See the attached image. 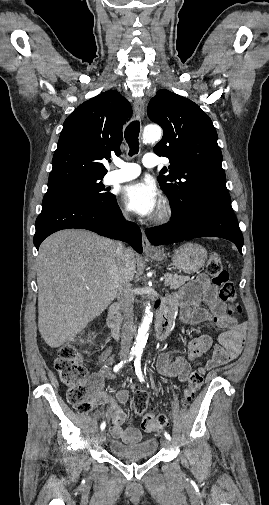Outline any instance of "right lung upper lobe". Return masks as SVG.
Masks as SVG:
<instances>
[{
	"label": "right lung upper lobe",
	"mask_w": 269,
	"mask_h": 505,
	"mask_svg": "<svg viewBox=\"0 0 269 505\" xmlns=\"http://www.w3.org/2000/svg\"><path fill=\"white\" fill-rule=\"evenodd\" d=\"M131 114L130 103L115 90L79 105L63 124L48 189L103 178L107 170L101 160L121 153L122 127Z\"/></svg>",
	"instance_id": "obj_1"
}]
</instances>
